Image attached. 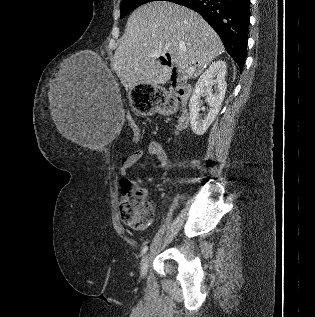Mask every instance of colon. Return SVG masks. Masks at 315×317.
I'll return each instance as SVG.
<instances>
[{"label":"colon","mask_w":315,"mask_h":317,"mask_svg":"<svg viewBox=\"0 0 315 317\" xmlns=\"http://www.w3.org/2000/svg\"><path fill=\"white\" fill-rule=\"evenodd\" d=\"M157 98L167 112L173 111L177 106V100L163 92H159ZM129 125L134 137L139 139L141 130L138 123L133 118H130ZM120 185L122 193L120 213L123 222L136 229L147 228L154 220V209L147 200L145 191L130 179L123 180Z\"/></svg>","instance_id":"obj_1"}]
</instances>
